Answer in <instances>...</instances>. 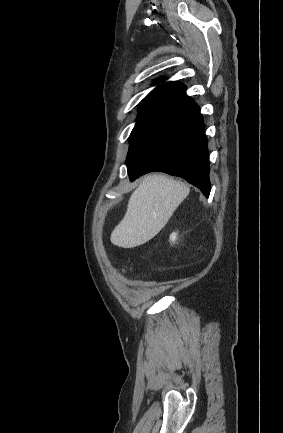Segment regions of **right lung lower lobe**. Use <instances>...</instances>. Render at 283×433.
<instances>
[{
	"instance_id": "1",
	"label": "right lung lower lobe",
	"mask_w": 283,
	"mask_h": 433,
	"mask_svg": "<svg viewBox=\"0 0 283 433\" xmlns=\"http://www.w3.org/2000/svg\"><path fill=\"white\" fill-rule=\"evenodd\" d=\"M126 164L131 181L161 171L184 178L208 197L207 138L194 100L188 99L148 123L130 143Z\"/></svg>"
}]
</instances>
